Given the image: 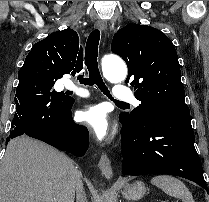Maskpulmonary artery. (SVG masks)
<instances>
[{
  "label": "pulmonary artery",
  "instance_id": "pulmonary-artery-1",
  "mask_svg": "<svg viewBox=\"0 0 209 202\" xmlns=\"http://www.w3.org/2000/svg\"><path fill=\"white\" fill-rule=\"evenodd\" d=\"M63 83L67 88L71 89L79 97H90V94L86 89L72 85L70 80H64ZM113 99L124 103H130L134 106H138L140 104V101L133 96V93L129 88H123L119 84L114 86Z\"/></svg>",
  "mask_w": 209,
  "mask_h": 202
}]
</instances>
